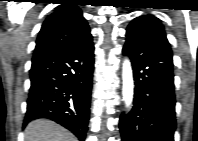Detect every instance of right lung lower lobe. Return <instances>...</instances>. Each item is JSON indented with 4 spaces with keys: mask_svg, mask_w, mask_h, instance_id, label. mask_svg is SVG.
<instances>
[{
    "mask_svg": "<svg viewBox=\"0 0 198 141\" xmlns=\"http://www.w3.org/2000/svg\"><path fill=\"white\" fill-rule=\"evenodd\" d=\"M93 69L94 46L90 31L68 45L34 57L24 126L31 120L48 118L84 141Z\"/></svg>",
    "mask_w": 198,
    "mask_h": 141,
    "instance_id": "right-lung-lower-lobe-1",
    "label": "right lung lower lobe"
}]
</instances>
